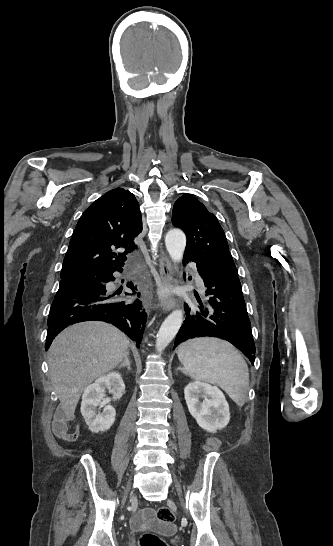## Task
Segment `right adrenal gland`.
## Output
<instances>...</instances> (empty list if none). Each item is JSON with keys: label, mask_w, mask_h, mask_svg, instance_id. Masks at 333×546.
Listing matches in <instances>:
<instances>
[{"label": "right adrenal gland", "mask_w": 333, "mask_h": 546, "mask_svg": "<svg viewBox=\"0 0 333 546\" xmlns=\"http://www.w3.org/2000/svg\"><path fill=\"white\" fill-rule=\"evenodd\" d=\"M127 366V369L130 371L131 370V365H130V361H129V351L126 352L125 356H124V361L118 366V368H122V367H126Z\"/></svg>", "instance_id": "2a0ac1e0"}]
</instances>
